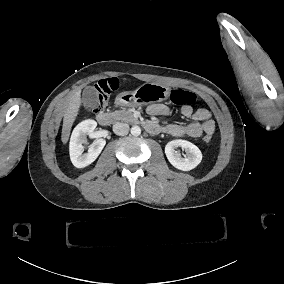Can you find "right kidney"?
I'll return each instance as SVG.
<instances>
[{"mask_svg":"<svg viewBox=\"0 0 284 284\" xmlns=\"http://www.w3.org/2000/svg\"><path fill=\"white\" fill-rule=\"evenodd\" d=\"M97 124L93 120H86L80 123L74 130L70 141V157L76 168L82 169L92 164L102 152L106 145V140L96 138L90 144L88 153H83L85 148L83 143L88 135H92Z\"/></svg>","mask_w":284,"mask_h":284,"instance_id":"obj_1","label":"right kidney"}]
</instances>
